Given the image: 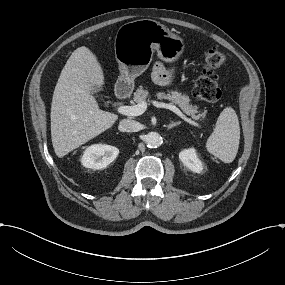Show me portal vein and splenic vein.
I'll list each match as a JSON object with an SVG mask.
<instances>
[{
  "mask_svg": "<svg viewBox=\"0 0 285 285\" xmlns=\"http://www.w3.org/2000/svg\"><path fill=\"white\" fill-rule=\"evenodd\" d=\"M156 107H164V108H169L170 110H172L177 116H179L182 120H184L185 122H187L188 124L197 127L199 129H202L203 127L200 125V123L192 120L191 118L187 117L179 108H177L174 105H167L164 103H159L156 102L154 103ZM146 104L143 103H139L138 105L135 106H126V105H121L116 107V112L118 114L121 115H126V116H139L141 114L144 113V111L146 110Z\"/></svg>",
  "mask_w": 285,
  "mask_h": 285,
  "instance_id": "obj_1",
  "label": "portal vein and splenic vein"
}]
</instances>
